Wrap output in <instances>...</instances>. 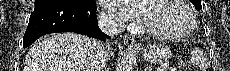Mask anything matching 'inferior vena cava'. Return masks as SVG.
<instances>
[{
    "label": "inferior vena cava",
    "mask_w": 230,
    "mask_h": 71,
    "mask_svg": "<svg viewBox=\"0 0 230 71\" xmlns=\"http://www.w3.org/2000/svg\"><path fill=\"white\" fill-rule=\"evenodd\" d=\"M98 26L102 32L109 36H116L125 28L121 20L104 13L98 16ZM106 60L107 51L105 46L99 41H93L91 51L85 63V71H103Z\"/></svg>",
    "instance_id": "1"
}]
</instances>
